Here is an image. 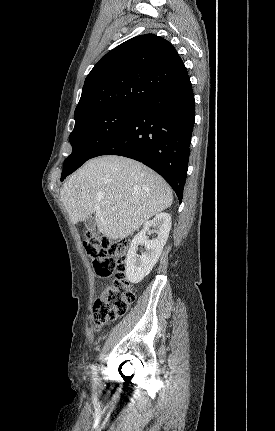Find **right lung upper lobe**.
I'll list each match as a JSON object with an SVG mask.
<instances>
[{
    "label": "right lung upper lobe",
    "mask_w": 275,
    "mask_h": 431,
    "mask_svg": "<svg viewBox=\"0 0 275 431\" xmlns=\"http://www.w3.org/2000/svg\"><path fill=\"white\" fill-rule=\"evenodd\" d=\"M187 75L167 40L154 34L134 37L104 55L87 75L74 119L112 107H139Z\"/></svg>",
    "instance_id": "cb5924a9"
}]
</instances>
